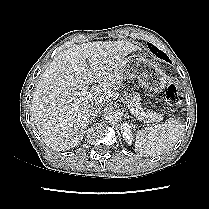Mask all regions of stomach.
<instances>
[{
    "mask_svg": "<svg viewBox=\"0 0 209 209\" xmlns=\"http://www.w3.org/2000/svg\"><path fill=\"white\" fill-rule=\"evenodd\" d=\"M119 72L127 80H138L151 92L159 93L166 88L168 76L154 62L144 56L127 55L119 63Z\"/></svg>",
    "mask_w": 209,
    "mask_h": 209,
    "instance_id": "1",
    "label": "stomach"
}]
</instances>
